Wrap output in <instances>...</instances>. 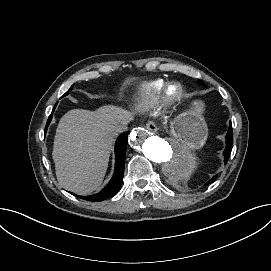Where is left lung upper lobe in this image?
<instances>
[{
    "label": "left lung upper lobe",
    "mask_w": 271,
    "mask_h": 271,
    "mask_svg": "<svg viewBox=\"0 0 271 271\" xmlns=\"http://www.w3.org/2000/svg\"><path fill=\"white\" fill-rule=\"evenodd\" d=\"M197 83H198L199 85H204V83H203L201 80H198Z\"/></svg>",
    "instance_id": "5c2ea615"
}]
</instances>
